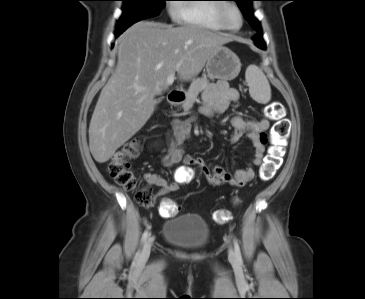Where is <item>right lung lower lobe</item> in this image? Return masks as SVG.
I'll use <instances>...</instances> for the list:
<instances>
[{
  "label": "right lung lower lobe",
  "instance_id": "98d812e1",
  "mask_svg": "<svg viewBox=\"0 0 365 299\" xmlns=\"http://www.w3.org/2000/svg\"><path fill=\"white\" fill-rule=\"evenodd\" d=\"M132 24H134V23H127V24L117 26L116 31H115V37L116 38L119 37Z\"/></svg>",
  "mask_w": 365,
  "mask_h": 299
}]
</instances>
